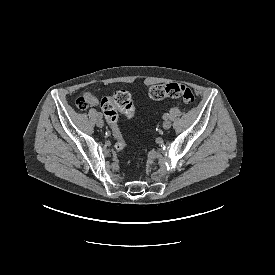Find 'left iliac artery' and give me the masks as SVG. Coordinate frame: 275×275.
Returning <instances> with one entry per match:
<instances>
[{
	"label": "left iliac artery",
	"instance_id": "1",
	"mask_svg": "<svg viewBox=\"0 0 275 275\" xmlns=\"http://www.w3.org/2000/svg\"><path fill=\"white\" fill-rule=\"evenodd\" d=\"M169 117V114L168 113H165L164 115H163V118L164 119H167Z\"/></svg>",
	"mask_w": 275,
	"mask_h": 275
}]
</instances>
